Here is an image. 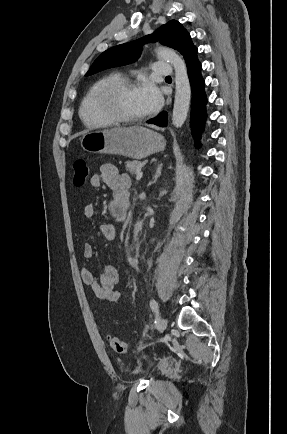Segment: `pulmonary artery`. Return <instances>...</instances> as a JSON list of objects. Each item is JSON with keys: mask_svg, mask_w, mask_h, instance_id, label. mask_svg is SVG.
Listing matches in <instances>:
<instances>
[{"mask_svg": "<svg viewBox=\"0 0 287 434\" xmlns=\"http://www.w3.org/2000/svg\"><path fill=\"white\" fill-rule=\"evenodd\" d=\"M153 74L161 76H170L172 74V66L168 63L157 62L152 66Z\"/></svg>", "mask_w": 287, "mask_h": 434, "instance_id": "e3ab8cb5", "label": "pulmonary artery"}]
</instances>
